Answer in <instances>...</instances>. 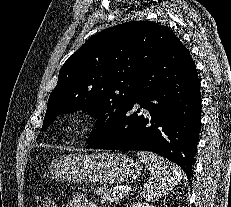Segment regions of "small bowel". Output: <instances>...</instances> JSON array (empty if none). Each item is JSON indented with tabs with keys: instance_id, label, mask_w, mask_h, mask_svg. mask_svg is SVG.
Instances as JSON below:
<instances>
[{
	"instance_id": "c3829d8e",
	"label": "small bowel",
	"mask_w": 231,
	"mask_h": 207,
	"mask_svg": "<svg viewBox=\"0 0 231 207\" xmlns=\"http://www.w3.org/2000/svg\"><path fill=\"white\" fill-rule=\"evenodd\" d=\"M66 207H97L82 195H74L66 204Z\"/></svg>"
}]
</instances>
